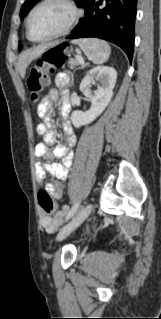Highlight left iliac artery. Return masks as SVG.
<instances>
[{
    "label": "left iliac artery",
    "mask_w": 161,
    "mask_h": 319,
    "mask_svg": "<svg viewBox=\"0 0 161 319\" xmlns=\"http://www.w3.org/2000/svg\"><path fill=\"white\" fill-rule=\"evenodd\" d=\"M80 205V202H77L76 204H74L72 206V208L69 210V212L67 213V216H66V221L69 220L71 217L74 216V214L76 213L78 207Z\"/></svg>",
    "instance_id": "1"
}]
</instances>
